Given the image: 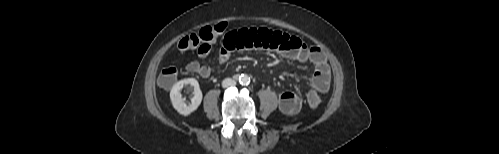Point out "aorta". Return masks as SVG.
<instances>
[{"instance_id": "aorta-1", "label": "aorta", "mask_w": 499, "mask_h": 154, "mask_svg": "<svg viewBox=\"0 0 499 154\" xmlns=\"http://www.w3.org/2000/svg\"><path fill=\"white\" fill-rule=\"evenodd\" d=\"M239 83L241 85H248L250 83V77L247 74H241L239 76Z\"/></svg>"}]
</instances>
